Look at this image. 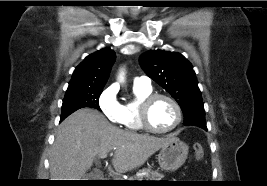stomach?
I'll use <instances>...</instances> for the list:
<instances>
[{
  "label": "stomach",
  "mask_w": 267,
  "mask_h": 186,
  "mask_svg": "<svg viewBox=\"0 0 267 186\" xmlns=\"http://www.w3.org/2000/svg\"><path fill=\"white\" fill-rule=\"evenodd\" d=\"M188 145L178 138L173 137L171 141L163 146L158 154V162L162 169L175 171L180 168L187 159Z\"/></svg>",
  "instance_id": "1"
}]
</instances>
